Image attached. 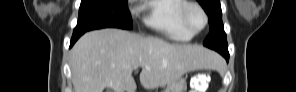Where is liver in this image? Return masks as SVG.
Segmentation results:
<instances>
[{
	"label": "liver",
	"instance_id": "1",
	"mask_svg": "<svg viewBox=\"0 0 296 92\" xmlns=\"http://www.w3.org/2000/svg\"><path fill=\"white\" fill-rule=\"evenodd\" d=\"M217 55L192 44L107 28L84 34L70 51L74 92H135L132 72L142 67L145 89L168 86L189 71L214 69Z\"/></svg>",
	"mask_w": 296,
	"mask_h": 92
}]
</instances>
